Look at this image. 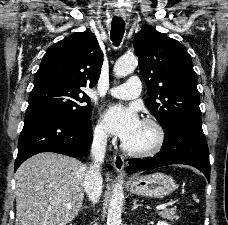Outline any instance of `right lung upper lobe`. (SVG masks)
<instances>
[{"label": "right lung upper lobe", "mask_w": 228, "mask_h": 225, "mask_svg": "<svg viewBox=\"0 0 228 225\" xmlns=\"http://www.w3.org/2000/svg\"><path fill=\"white\" fill-rule=\"evenodd\" d=\"M102 63L103 53L95 35L90 30L74 33L47 49L34 85L59 82L79 88L93 87Z\"/></svg>", "instance_id": "1"}]
</instances>
